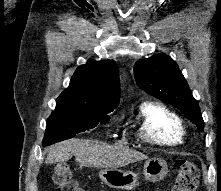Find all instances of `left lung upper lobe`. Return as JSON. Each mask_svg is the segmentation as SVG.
Masks as SVG:
<instances>
[{
	"instance_id": "1",
	"label": "left lung upper lobe",
	"mask_w": 221,
	"mask_h": 191,
	"mask_svg": "<svg viewBox=\"0 0 221 191\" xmlns=\"http://www.w3.org/2000/svg\"><path fill=\"white\" fill-rule=\"evenodd\" d=\"M134 76L142 90L178 108L203 131L204 121L198 102L173 59L160 53L138 60L134 65Z\"/></svg>"
}]
</instances>
